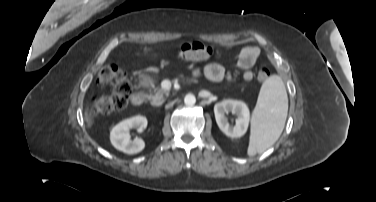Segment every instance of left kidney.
<instances>
[{
  "instance_id": "obj_1",
  "label": "left kidney",
  "mask_w": 376,
  "mask_h": 202,
  "mask_svg": "<svg viewBox=\"0 0 376 202\" xmlns=\"http://www.w3.org/2000/svg\"><path fill=\"white\" fill-rule=\"evenodd\" d=\"M230 112L237 115L235 125H230L228 122L226 115ZM214 114L218 127L228 137L238 138L246 133L250 120V112L243 101L226 99L216 103Z\"/></svg>"
}]
</instances>
